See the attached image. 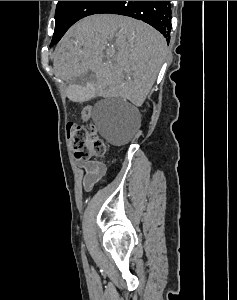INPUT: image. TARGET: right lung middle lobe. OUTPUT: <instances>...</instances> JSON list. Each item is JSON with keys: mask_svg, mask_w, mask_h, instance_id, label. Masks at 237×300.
<instances>
[{"mask_svg": "<svg viewBox=\"0 0 237 300\" xmlns=\"http://www.w3.org/2000/svg\"><path fill=\"white\" fill-rule=\"evenodd\" d=\"M107 1H58L51 46L78 20L95 14Z\"/></svg>", "mask_w": 237, "mask_h": 300, "instance_id": "right-lung-middle-lobe-1", "label": "right lung middle lobe"}]
</instances>
